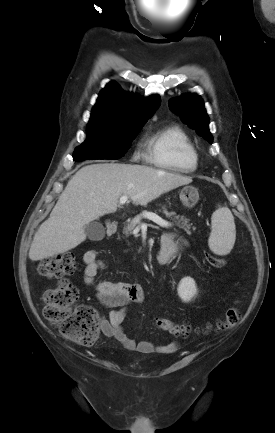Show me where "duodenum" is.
<instances>
[{"mask_svg": "<svg viewBox=\"0 0 275 433\" xmlns=\"http://www.w3.org/2000/svg\"><path fill=\"white\" fill-rule=\"evenodd\" d=\"M106 228H107V234L112 236L117 231V223L114 221H109L106 224ZM168 250H169L168 247L161 245V249L157 255V262L159 264L163 265L168 262V257H167Z\"/></svg>", "mask_w": 275, "mask_h": 433, "instance_id": "410a0bca", "label": "duodenum"}]
</instances>
